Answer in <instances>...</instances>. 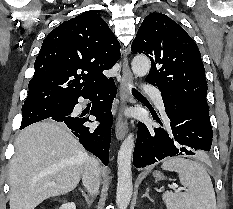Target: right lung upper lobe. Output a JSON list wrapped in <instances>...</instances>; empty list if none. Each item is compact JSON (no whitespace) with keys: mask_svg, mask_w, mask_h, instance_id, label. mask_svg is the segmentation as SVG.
<instances>
[{"mask_svg":"<svg viewBox=\"0 0 233 209\" xmlns=\"http://www.w3.org/2000/svg\"><path fill=\"white\" fill-rule=\"evenodd\" d=\"M120 58V44L106 22L87 11L63 22L42 43L24 103L73 100L104 85Z\"/></svg>","mask_w":233,"mask_h":209,"instance_id":"cb5924a9","label":"right lung upper lobe"}]
</instances>
